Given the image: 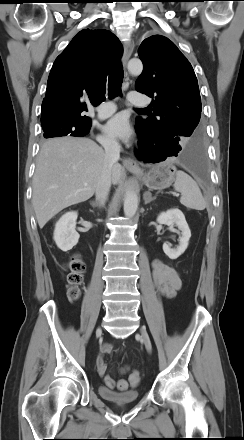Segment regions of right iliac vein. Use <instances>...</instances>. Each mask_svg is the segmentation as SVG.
Instances as JSON below:
<instances>
[{
    "label": "right iliac vein",
    "mask_w": 244,
    "mask_h": 440,
    "mask_svg": "<svg viewBox=\"0 0 244 440\" xmlns=\"http://www.w3.org/2000/svg\"><path fill=\"white\" fill-rule=\"evenodd\" d=\"M101 334H102V328L98 327L97 330H96V337L101 336Z\"/></svg>",
    "instance_id": "right-iliac-vein-1"
}]
</instances>
